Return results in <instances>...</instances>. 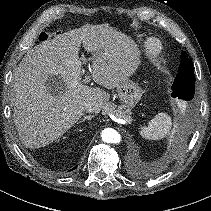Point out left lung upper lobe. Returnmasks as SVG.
Here are the masks:
<instances>
[{
  "label": "left lung upper lobe",
  "instance_id": "left-lung-upper-lobe-1",
  "mask_svg": "<svg viewBox=\"0 0 211 211\" xmlns=\"http://www.w3.org/2000/svg\"><path fill=\"white\" fill-rule=\"evenodd\" d=\"M172 96L191 102L195 92V75L193 65L185 51L181 54L178 74L172 85Z\"/></svg>",
  "mask_w": 211,
  "mask_h": 211
}]
</instances>
